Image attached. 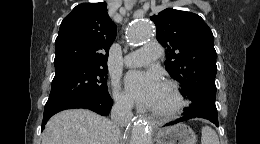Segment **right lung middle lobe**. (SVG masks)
I'll use <instances>...</instances> for the list:
<instances>
[{
	"mask_svg": "<svg viewBox=\"0 0 260 144\" xmlns=\"http://www.w3.org/2000/svg\"><path fill=\"white\" fill-rule=\"evenodd\" d=\"M55 71L46 105L92 101L110 96L107 89V66L70 64L55 68Z\"/></svg>",
	"mask_w": 260,
	"mask_h": 144,
	"instance_id": "obj_1",
	"label": "right lung middle lobe"
}]
</instances>
